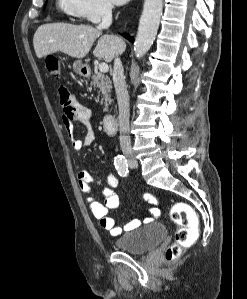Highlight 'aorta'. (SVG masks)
<instances>
[{
	"mask_svg": "<svg viewBox=\"0 0 247 299\" xmlns=\"http://www.w3.org/2000/svg\"><path fill=\"white\" fill-rule=\"evenodd\" d=\"M162 9L163 0H145L144 2L143 12L134 42V53L138 59L148 52L155 40Z\"/></svg>",
	"mask_w": 247,
	"mask_h": 299,
	"instance_id": "762f6f07",
	"label": "aorta"
}]
</instances>
